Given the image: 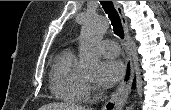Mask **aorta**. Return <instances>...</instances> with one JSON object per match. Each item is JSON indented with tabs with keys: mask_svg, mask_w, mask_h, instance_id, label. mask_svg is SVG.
Returning a JSON list of instances; mask_svg holds the SVG:
<instances>
[{
	"mask_svg": "<svg viewBox=\"0 0 171 110\" xmlns=\"http://www.w3.org/2000/svg\"><path fill=\"white\" fill-rule=\"evenodd\" d=\"M107 28V21L99 15L89 16L85 21L80 40L79 69L82 73H95L99 62L96 45L103 37ZM126 110H133V106H128Z\"/></svg>",
	"mask_w": 171,
	"mask_h": 110,
	"instance_id": "aorta-1",
	"label": "aorta"
}]
</instances>
